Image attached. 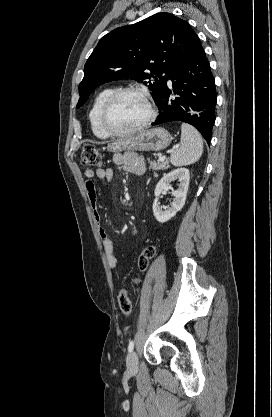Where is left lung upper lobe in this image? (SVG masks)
<instances>
[{
	"instance_id": "obj_1",
	"label": "left lung upper lobe",
	"mask_w": 272,
	"mask_h": 417,
	"mask_svg": "<svg viewBox=\"0 0 272 417\" xmlns=\"http://www.w3.org/2000/svg\"><path fill=\"white\" fill-rule=\"evenodd\" d=\"M199 48L191 26L169 13L114 29L99 41L85 64L77 108L96 87L119 79L149 84L157 104L171 72Z\"/></svg>"
}]
</instances>
